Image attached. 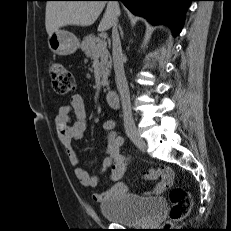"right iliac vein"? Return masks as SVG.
<instances>
[{
	"mask_svg": "<svg viewBox=\"0 0 231 231\" xmlns=\"http://www.w3.org/2000/svg\"><path fill=\"white\" fill-rule=\"evenodd\" d=\"M126 133L128 137L131 139V141L140 149V150H145L146 149V143L143 140V138L140 136L138 131L133 128H128L126 130Z\"/></svg>",
	"mask_w": 231,
	"mask_h": 231,
	"instance_id": "right-iliac-vein-1",
	"label": "right iliac vein"
}]
</instances>
